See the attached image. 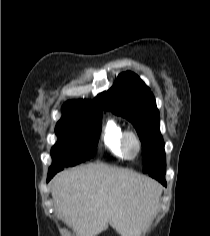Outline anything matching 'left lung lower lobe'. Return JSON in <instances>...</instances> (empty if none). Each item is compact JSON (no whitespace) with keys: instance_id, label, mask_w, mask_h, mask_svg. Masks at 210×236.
Returning a JSON list of instances; mask_svg holds the SVG:
<instances>
[{"instance_id":"0a47b994","label":"left lung lower lobe","mask_w":210,"mask_h":236,"mask_svg":"<svg viewBox=\"0 0 210 236\" xmlns=\"http://www.w3.org/2000/svg\"><path fill=\"white\" fill-rule=\"evenodd\" d=\"M165 172H166V163L163 162L162 164L158 165L156 168L148 172L151 177L157 179L159 182H161L164 186H166L165 181Z\"/></svg>"}]
</instances>
